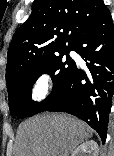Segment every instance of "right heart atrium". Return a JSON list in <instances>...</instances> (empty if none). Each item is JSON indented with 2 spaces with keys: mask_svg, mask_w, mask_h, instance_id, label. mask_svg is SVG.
I'll return each instance as SVG.
<instances>
[{
  "mask_svg": "<svg viewBox=\"0 0 114 156\" xmlns=\"http://www.w3.org/2000/svg\"><path fill=\"white\" fill-rule=\"evenodd\" d=\"M52 87L53 77L46 72L40 73L31 85L30 95L32 100L36 102L44 100L51 92Z\"/></svg>",
  "mask_w": 114,
  "mask_h": 156,
  "instance_id": "obj_1",
  "label": "right heart atrium"
}]
</instances>
